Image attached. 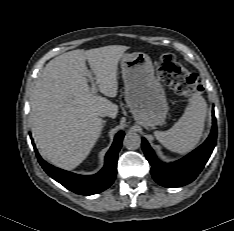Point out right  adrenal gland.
<instances>
[{
	"label": "right adrenal gland",
	"instance_id": "1",
	"mask_svg": "<svg viewBox=\"0 0 234 231\" xmlns=\"http://www.w3.org/2000/svg\"><path fill=\"white\" fill-rule=\"evenodd\" d=\"M106 121H103V127L105 126Z\"/></svg>",
	"mask_w": 234,
	"mask_h": 231
}]
</instances>
